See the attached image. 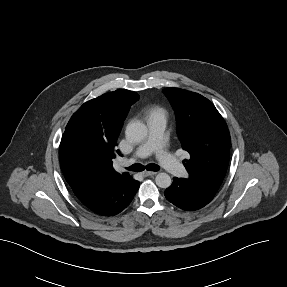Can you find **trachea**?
Returning <instances> with one entry per match:
<instances>
[{
  "mask_svg": "<svg viewBox=\"0 0 287 287\" xmlns=\"http://www.w3.org/2000/svg\"><path fill=\"white\" fill-rule=\"evenodd\" d=\"M126 169L133 172H140L145 169L148 171H158L160 168L156 164H148L147 166H143L142 164L137 163L127 167Z\"/></svg>",
  "mask_w": 287,
  "mask_h": 287,
  "instance_id": "obj_1",
  "label": "trachea"
}]
</instances>
